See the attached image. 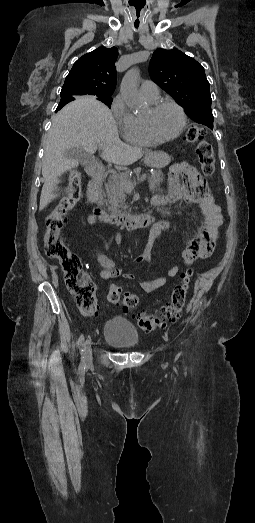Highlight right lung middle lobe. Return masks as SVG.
I'll return each mask as SVG.
<instances>
[{
    "instance_id": "dd1d6c3e",
    "label": "right lung middle lobe",
    "mask_w": 255,
    "mask_h": 523,
    "mask_svg": "<svg viewBox=\"0 0 255 523\" xmlns=\"http://www.w3.org/2000/svg\"><path fill=\"white\" fill-rule=\"evenodd\" d=\"M61 99L75 100L70 94L63 93V92H61ZM97 100L103 102L109 108H111V103H112V97L111 96L98 97Z\"/></svg>"
}]
</instances>
